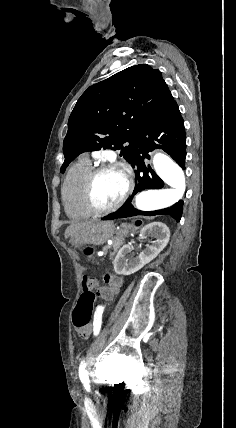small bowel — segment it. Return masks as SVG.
Here are the masks:
<instances>
[{
  "mask_svg": "<svg viewBox=\"0 0 236 428\" xmlns=\"http://www.w3.org/2000/svg\"><path fill=\"white\" fill-rule=\"evenodd\" d=\"M107 286L102 287L98 291V295L105 301H112L120 286L122 285V279L118 276H107ZM104 305L100 304L97 306L96 311H104ZM91 331V326H87L84 330L79 331L82 336H87Z\"/></svg>",
  "mask_w": 236,
  "mask_h": 428,
  "instance_id": "1",
  "label": "small bowel"
}]
</instances>
